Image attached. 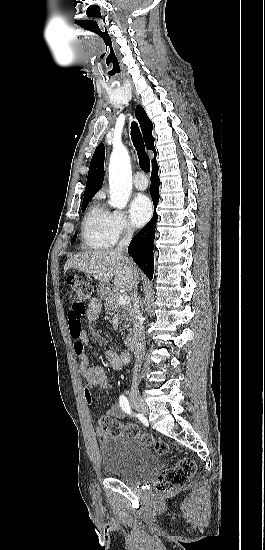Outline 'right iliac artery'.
<instances>
[{"mask_svg": "<svg viewBox=\"0 0 265 550\" xmlns=\"http://www.w3.org/2000/svg\"><path fill=\"white\" fill-rule=\"evenodd\" d=\"M119 403H120V406L121 408L123 409V411L129 415H132V410H131V407H130V404H129V401L128 399L124 396V395H121L119 397Z\"/></svg>", "mask_w": 265, "mask_h": 550, "instance_id": "82829eb1", "label": "right iliac artery"}]
</instances>
